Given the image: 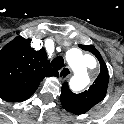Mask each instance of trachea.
Returning <instances> with one entry per match:
<instances>
[{"label":"trachea","instance_id":"1","mask_svg":"<svg viewBox=\"0 0 124 124\" xmlns=\"http://www.w3.org/2000/svg\"><path fill=\"white\" fill-rule=\"evenodd\" d=\"M52 66L56 70H60L64 65V59L62 56H57L51 62Z\"/></svg>","mask_w":124,"mask_h":124}]
</instances>
